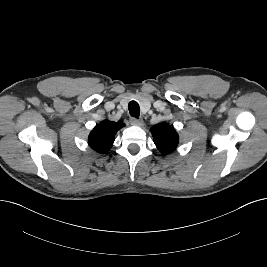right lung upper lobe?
<instances>
[{"mask_svg": "<svg viewBox=\"0 0 267 267\" xmlns=\"http://www.w3.org/2000/svg\"><path fill=\"white\" fill-rule=\"evenodd\" d=\"M122 127H124L122 122L102 121L89 135L90 147L99 153H106L113 145L116 132Z\"/></svg>", "mask_w": 267, "mask_h": 267, "instance_id": "cb5924a9", "label": "right lung upper lobe"}]
</instances>
